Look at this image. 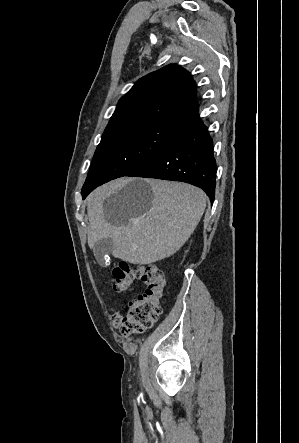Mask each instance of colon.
<instances>
[{
  "instance_id": "1",
  "label": "colon",
  "mask_w": 299,
  "mask_h": 443,
  "mask_svg": "<svg viewBox=\"0 0 299 443\" xmlns=\"http://www.w3.org/2000/svg\"><path fill=\"white\" fill-rule=\"evenodd\" d=\"M112 276L113 288L119 293H130L137 280L146 285L145 292L128 303L122 318V333L130 336L152 327L162 314L161 300L166 285L163 272L155 264L133 267L120 262L113 269Z\"/></svg>"
}]
</instances>
